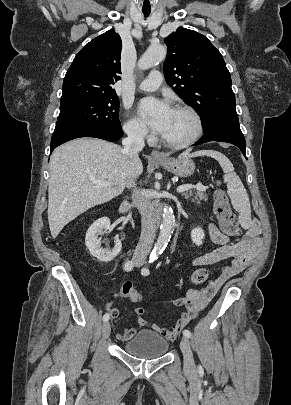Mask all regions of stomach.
<instances>
[{
	"mask_svg": "<svg viewBox=\"0 0 291 405\" xmlns=\"http://www.w3.org/2000/svg\"><path fill=\"white\" fill-rule=\"evenodd\" d=\"M157 163L163 166L169 172L180 177H189L194 173L195 170V164L189 158H165L157 161Z\"/></svg>",
	"mask_w": 291,
	"mask_h": 405,
	"instance_id": "0dacf381",
	"label": "stomach"
}]
</instances>
